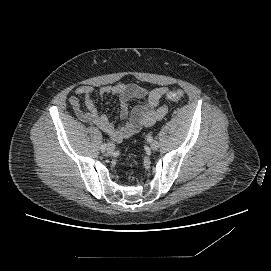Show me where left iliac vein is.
Masks as SVG:
<instances>
[{
    "label": "left iliac vein",
    "mask_w": 271,
    "mask_h": 271,
    "mask_svg": "<svg viewBox=\"0 0 271 271\" xmlns=\"http://www.w3.org/2000/svg\"><path fill=\"white\" fill-rule=\"evenodd\" d=\"M152 150H157L159 148V143L157 141H152L150 144Z\"/></svg>",
    "instance_id": "left-iliac-vein-1"
}]
</instances>
